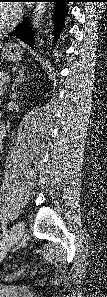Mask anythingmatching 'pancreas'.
Wrapping results in <instances>:
<instances>
[{"instance_id":"obj_1","label":"pancreas","mask_w":107,"mask_h":297,"mask_svg":"<svg viewBox=\"0 0 107 297\" xmlns=\"http://www.w3.org/2000/svg\"><path fill=\"white\" fill-rule=\"evenodd\" d=\"M7 76V73L6 72H1L0 73V87H1V89L2 88H4V84L6 83V82H4L3 81V79L5 78Z\"/></svg>"}]
</instances>
